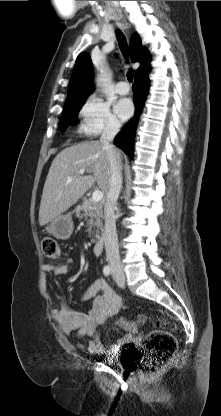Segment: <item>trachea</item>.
I'll return each mask as SVG.
<instances>
[{"label": "trachea", "instance_id": "obj_1", "mask_svg": "<svg viewBox=\"0 0 221 416\" xmlns=\"http://www.w3.org/2000/svg\"><path fill=\"white\" fill-rule=\"evenodd\" d=\"M116 36H117V39H118L119 47H120L121 51L123 52V54L125 55V57L127 58L128 53H127L126 37L124 36V34L120 30L116 31ZM127 79H128L129 82L133 81V70L132 69H130L127 72Z\"/></svg>", "mask_w": 221, "mask_h": 416}]
</instances>
